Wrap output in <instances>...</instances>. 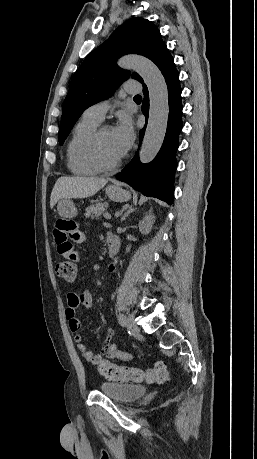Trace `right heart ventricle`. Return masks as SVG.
<instances>
[{"mask_svg":"<svg viewBox=\"0 0 257 459\" xmlns=\"http://www.w3.org/2000/svg\"><path fill=\"white\" fill-rule=\"evenodd\" d=\"M100 122L83 115L75 125L66 148L67 167L75 175L90 176L101 170L87 157L86 144Z\"/></svg>","mask_w":257,"mask_h":459,"instance_id":"e07e8e85","label":"right heart ventricle"}]
</instances>
